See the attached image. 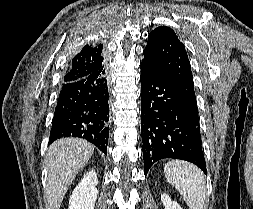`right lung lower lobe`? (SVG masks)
Segmentation results:
<instances>
[{
    "label": "right lung lower lobe",
    "mask_w": 253,
    "mask_h": 209,
    "mask_svg": "<svg viewBox=\"0 0 253 209\" xmlns=\"http://www.w3.org/2000/svg\"><path fill=\"white\" fill-rule=\"evenodd\" d=\"M105 70L64 83L52 121L49 144L63 137L89 141L107 154L109 105Z\"/></svg>",
    "instance_id": "1"
}]
</instances>
